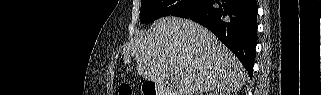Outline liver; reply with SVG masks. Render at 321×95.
Wrapping results in <instances>:
<instances>
[{
	"instance_id": "6515ba94",
	"label": "liver",
	"mask_w": 321,
	"mask_h": 95,
	"mask_svg": "<svg viewBox=\"0 0 321 95\" xmlns=\"http://www.w3.org/2000/svg\"><path fill=\"white\" fill-rule=\"evenodd\" d=\"M123 56L125 64L133 57L138 74L156 84H162L170 74L176 95L237 92L247 77L236 56L212 32L187 19L157 20L150 32L124 46Z\"/></svg>"
}]
</instances>
